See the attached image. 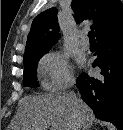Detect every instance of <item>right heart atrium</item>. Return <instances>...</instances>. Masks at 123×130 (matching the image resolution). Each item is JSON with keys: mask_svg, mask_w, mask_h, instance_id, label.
I'll return each instance as SVG.
<instances>
[{"mask_svg": "<svg viewBox=\"0 0 123 130\" xmlns=\"http://www.w3.org/2000/svg\"><path fill=\"white\" fill-rule=\"evenodd\" d=\"M39 70L45 85L51 91H62L74 82L73 69L67 56L49 52L40 61Z\"/></svg>", "mask_w": 123, "mask_h": 130, "instance_id": "obj_1", "label": "right heart atrium"}]
</instances>
